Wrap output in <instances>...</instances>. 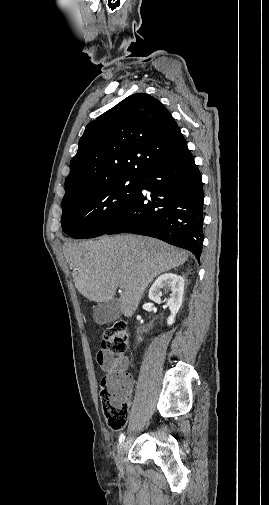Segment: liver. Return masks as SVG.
<instances>
[{
	"label": "liver",
	"mask_w": 269,
	"mask_h": 505,
	"mask_svg": "<svg viewBox=\"0 0 269 505\" xmlns=\"http://www.w3.org/2000/svg\"><path fill=\"white\" fill-rule=\"evenodd\" d=\"M63 252L79 293L102 303L113 299L116 289L121 288L119 301L126 317L134 314L156 276L188 260V254L179 248L131 234L66 242Z\"/></svg>",
	"instance_id": "1"
}]
</instances>
